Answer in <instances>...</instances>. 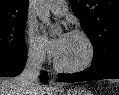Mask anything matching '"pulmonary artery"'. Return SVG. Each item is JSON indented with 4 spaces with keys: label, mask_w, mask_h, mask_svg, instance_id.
I'll use <instances>...</instances> for the list:
<instances>
[{
    "label": "pulmonary artery",
    "mask_w": 119,
    "mask_h": 95,
    "mask_svg": "<svg viewBox=\"0 0 119 95\" xmlns=\"http://www.w3.org/2000/svg\"><path fill=\"white\" fill-rule=\"evenodd\" d=\"M50 11L55 16H64L68 11L67 4L65 1H55L51 6Z\"/></svg>",
    "instance_id": "e3ab8cb5"
}]
</instances>
